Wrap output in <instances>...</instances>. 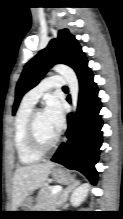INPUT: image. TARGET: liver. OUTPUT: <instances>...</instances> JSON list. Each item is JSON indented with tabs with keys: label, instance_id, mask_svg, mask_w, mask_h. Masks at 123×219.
<instances>
[{
	"label": "liver",
	"instance_id": "obj_1",
	"mask_svg": "<svg viewBox=\"0 0 123 219\" xmlns=\"http://www.w3.org/2000/svg\"><path fill=\"white\" fill-rule=\"evenodd\" d=\"M54 166L53 162H45L21 166L16 169L13 177L12 211H16L31 192L44 185Z\"/></svg>",
	"mask_w": 123,
	"mask_h": 219
}]
</instances>
